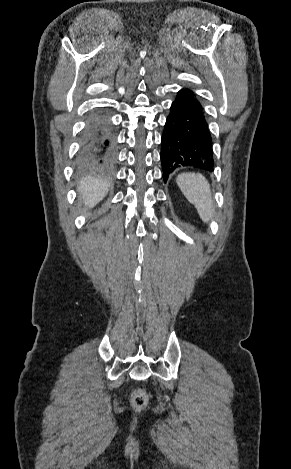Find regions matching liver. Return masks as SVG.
Listing matches in <instances>:
<instances>
[{"instance_id": "6515ba94", "label": "liver", "mask_w": 291, "mask_h": 469, "mask_svg": "<svg viewBox=\"0 0 291 469\" xmlns=\"http://www.w3.org/2000/svg\"><path fill=\"white\" fill-rule=\"evenodd\" d=\"M108 184L105 181L86 178L80 181L79 194L86 208L96 206L107 194Z\"/></svg>"}]
</instances>
